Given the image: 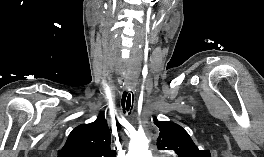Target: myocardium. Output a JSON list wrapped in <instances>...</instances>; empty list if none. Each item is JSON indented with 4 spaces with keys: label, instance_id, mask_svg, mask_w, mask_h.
I'll list each match as a JSON object with an SVG mask.
<instances>
[{
    "label": "myocardium",
    "instance_id": "myocardium-1",
    "mask_svg": "<svg viewBox=\"0 0 264 157\" xmlns=\"http://www.w3.org/2000/svg\"><path fill=\"white\" fill-rule=\"evenodd\" d=\"M158 157H171V156L163 155V156H158Z\"/></svg>",
    "mask_w": 264,
    "mask_h": 157
}]
</instances>
